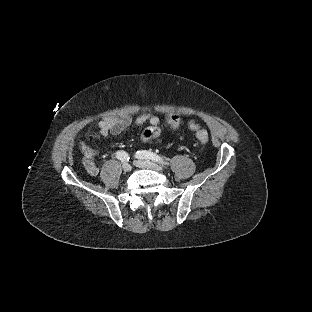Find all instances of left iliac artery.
Returning a JSON list of instances; mask_svg holds the SVG:
<instances>
[{
  "instance_id": "obj_1",
  "label": "left iliac artery",
  "mask_w": 312,
  "mask_h": 312,
  "mask_svg": "<svg viewBox=\"0 0 312 312\" xmlns=\"http://www.w3.org/2000/svg\"><path fill=\"white\" fill-rule=\"evenodd\" d=\"M136 157L140 159L152 160L159 163L165 162L163 157L150 151H137Z\"/></svg>"
}]
</instances>
